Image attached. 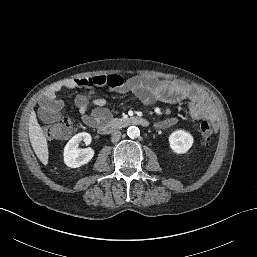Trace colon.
Masks as SVG:
<instances>
[{
    "instance_id": "obj_1",
    "label": "colon",
    "mask_w": 257,
    "mask_h": 257,
    "mask_svg": "<svg viewBox=\"0 0 257 257\" xmlns=\"http://www.w3.org/2000/svg\"><path fill=\"white\" fill-rule=\"evenodd\" d=\"M201 142L207 145L213 134L212 124L208 120H203L200 124ZM75 132L73 121L68 117H63L55 122L44 126V134L49 140H66Z\"/></svg>"
}]
</instances>
